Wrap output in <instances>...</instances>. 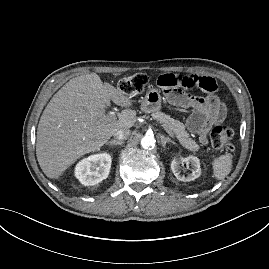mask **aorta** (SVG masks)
I'll return each instance as SVG.
<instances>
[{
	"instance_id": "1",
	"label": "aorta",
	"mask_w": 269,
	"mask_h": 269,
	"mask_svg": "<svg viewBox=\"0 0 269 269\" xmlns=\"http://www.w3.org/2000/svg\"><path fill=\"white\" fill-rule=\"evenodd\" d=\"M156 140L153 135L146 134L141 138V147L144 149L154 148Z\"/></svg>"
}]
</instances>
